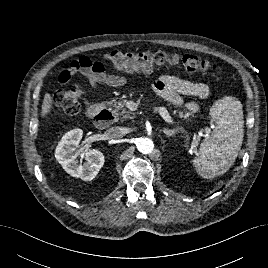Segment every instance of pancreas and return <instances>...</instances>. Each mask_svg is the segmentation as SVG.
<instances>
[{
    "label": "pancreas",
    "mask_w": 268,
    "mask_h": 268,
    "mask_svg": "<svg viewBox=\"0 0 268 268\" xmlns=\"http://www.w3.org/2000/svg\"><path fill=\"white\" fill-rule=\"evenodd\" d=\"M107 105L109 106V109L111 110L116 120L120 118L128 119L132 117L131 116L132 112H130L129 110L125 108L126 100H123V101L112 100V101L107 102ZM173 114L179 118H184V119H188L190 116V113H184L182 111L178 112L177 110H174Z\"/></svg>",
    "instance_id": "pancreas-1"
}]
</instances>
